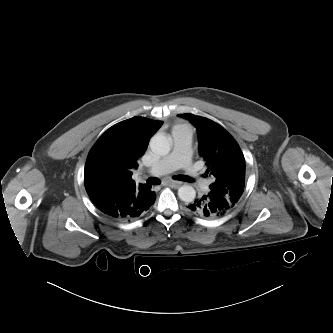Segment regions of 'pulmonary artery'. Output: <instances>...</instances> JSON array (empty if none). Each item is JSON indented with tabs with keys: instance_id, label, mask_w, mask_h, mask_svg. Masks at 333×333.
<instances>
[{
	"instance_id": "1",
	"label": "pulmonary artery",
	"mask_w": 333,
	"mask_h": 333,
	"mask_svg": "<svg viewBox=\"0 0 333 333\" xmlns=\"http://www.w3.org/2000/svg\"><path fill=\"white\" fill-rule=\"evenodd\" d=\"M172 138L174 145L171 153L155 163L148 172L159 176L183 168L193 182L202 183L200 174L191 161L192 131L187 127L175 128Z\"/></svg>"
}]
</instances>
